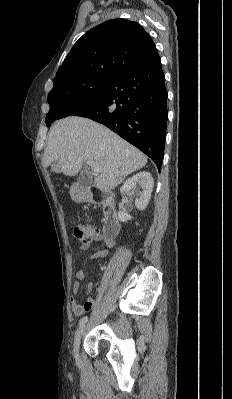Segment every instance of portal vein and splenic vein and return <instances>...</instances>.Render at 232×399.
<instances>
[{"instance_id": "portal-vein-and-splenic-vein-1", "label": "portal vein and splenic vein", "mask_w": 232, "mask_h": 399, "mask_svg": "<svg viewBox=\"0 0 232 399\" xmlns=\"http://www.w3.org/2000/svg\"><path fill=\"white\" fill-rule=\"evenodd\" d=\"M86 164H88V166H93L95 174H101V170H98V168H96L94 162H91V160H87Z\"/></svg>"}]
</instances>
